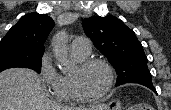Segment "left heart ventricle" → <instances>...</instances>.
Here are the masks:
<instances>
[{
	"instance_id": "1",
	"label": "left heart ventricle",
	"mask_w": 171,
	"mask_h": 110,
	"mask_svg": "<svg viewBox=\"0 0 171 110\" xmlns=\"http://www.w3.org/2000/svg\"><path fill=\"white\" fill-rule=\"evenodd\" d=\"M70 76L76 78L80 90L88 96L101 93L108 83V72L102 65H92L82 72L75 68Z\"/></svg>"
}]
</instances>
